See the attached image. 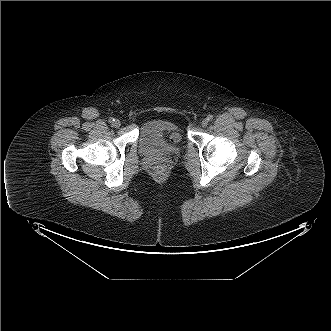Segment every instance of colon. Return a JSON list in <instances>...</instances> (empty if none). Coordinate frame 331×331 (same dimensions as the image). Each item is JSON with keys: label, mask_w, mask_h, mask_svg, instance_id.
I'll list each match as a JSON object with an SVG mask.
<instances>
[{"label": "colon", "mask_w": 331, "mask_h": 331, "mask_svg": "<svg viewBox=\"0 0 331 331\" xmlns=\"http://www.w3.org/2000/svg\"><path fill=\"white\" fill-rule=\"evenodd\" d=\"M156 172L158 175H162L163 174V170L161 168H157Z\"/></svg>", "instance_id": "obj_1"}]
</instances>
